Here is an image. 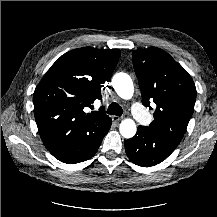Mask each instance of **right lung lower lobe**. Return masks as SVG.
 Masks as SVG:
<instances>
[{"label": "right lung lower lobe", "instance_id": "98d812e1", "mask_svg": "<svg viewBox=\"0 0 217 217\" xmlns=\"http://www.w3.org/2000/svg\"><path fill=\"white\" fill-rule=\"evenodd\" d=\"M111 124L112 120L96 126L78 145L63 151L53 152L52 155L58 160L68 164L79 163L91 158L97 152Z\"/></svg>", "mask_w": 217, "mask_h": 217}]
</instances>
